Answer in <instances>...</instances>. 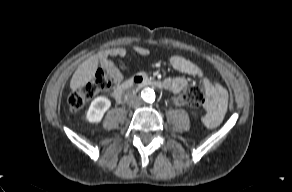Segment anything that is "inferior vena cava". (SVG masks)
Listing matches in <instances>:
<instances>
[{
	"label": "inferior vena cava",
	"mask_w": 292,
	"mask_h": 192,
	"mask_svg": "<svg viewBox=\"0 0 292 192\" xmlns=\"http://www.w3.org/2000/svg\"><path fill=\"white\" fill-rule=\"evenodd\" d=\"M127 103H128V105L130 107L137 108V107H140L143 104V101L138 96H132V97L129 98Z\"/></svg>",
	"instance_id": "obj_1"
}]
</instances>
